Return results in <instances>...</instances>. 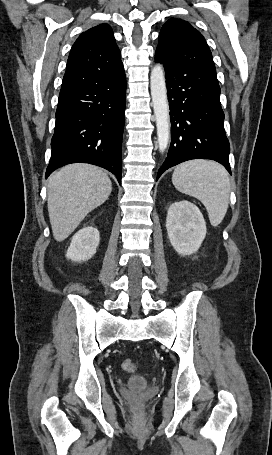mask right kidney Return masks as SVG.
Listing matches in <instances>:
<instances>
[{
    "label": "right kidney",
    "instance_id": "obj_1",
    "mask_svg": "<svg viewBox=\"0 0 272 455\" xmlns=\"http://www.w3.org/2000/svg\"><path fill=\"white\" fill-rule=\"evenodd\" d=\"M99 241V231L96 228L84 227L72 237L66 257L75 262L89 260L95 255Z\"/></svg>",
    "mask_w": 272,
    "mask_h": 455
}]
</instances>
